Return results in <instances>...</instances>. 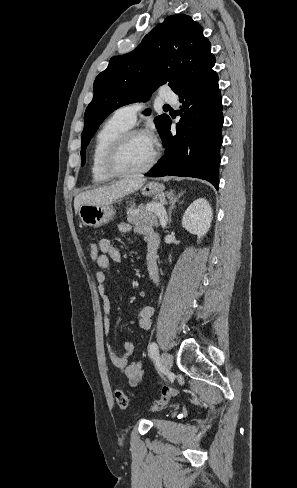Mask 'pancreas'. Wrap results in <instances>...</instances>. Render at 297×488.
<instances>
[{"label":"pancreas","mask_w":297,"mask_h":488,"mask_svg":"<svg viewBox=\"0 0 297 488\" xmlns=\"http://www.w3.org/2000/svg\"><path fill=\"white\" fill-rule=\"evenodd\" d=\"M155 204L157 202H150L146 206H139L138 208L130 206L127 209V221L136 225L146 223L151 226H157V212L153 209Z\"/></svg>","instance_id":"pancreas-1"}]
</instances>
